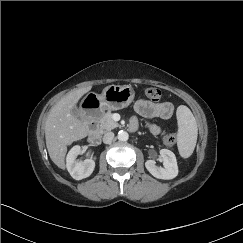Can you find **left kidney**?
Masks as SVG:
<instances>
[{
	"label": "left kidney",
	"instance_id": "obj_1",
	"mask_svg": "<svg viewBox=\"0 0 243 243\" xmlns=\"http://www.w3.org/2000/svg\"><path fill=\"white\" fill-rule=\"evenodd\" d=\"M160 155L163 159V167H157L154 160L145 162L146 169L156 178L170 180L178 175V166L175 154L168 149H161Z\"/></svg>",
	"mask_w": 243,
	"mask_h": 243
}]
</instances>
